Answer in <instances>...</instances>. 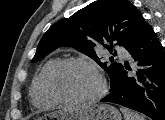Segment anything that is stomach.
Here are the masks:
<instances>
[{
  "label": "stomach",
  "instance_id": "obj_1",
  "mask_svg": "<svg viewBox=\"0 0 165 120\" xmlns=\"http://www.w3.org/2000/svg\"><path fill=\"white\" fill-rule=\"evenodd\" d=\"M58 118L61 120H122L119 111L109 104H81L69 110L49 113L38 119Z\"/></svg>",
  "mask_w": 165,
  "mask_h": 120
}]
</instances>
